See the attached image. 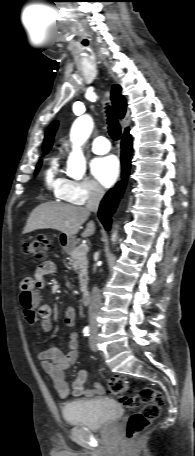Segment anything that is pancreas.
Returning <instances> with one entry per match:
<instances>
[{
    "label": "pancreas",
    "instance_id": "pancreas-1",
    "mask_svg": "<svg viewBox=\"0 0 195 456\" xmlns=\"http://www.w3.org/2000/svg\"><path fill=\"white\" fill-rule=\"evenodd\" d=\"M70 255V265L74 268L78 274L79 284L81 291H84L87 287V268H88V259L87 251H84L81 246L74 247L69 251Z\"/></svg>",
    "mask_w": 195,
    "mask_h": 456
}]
</instances>
